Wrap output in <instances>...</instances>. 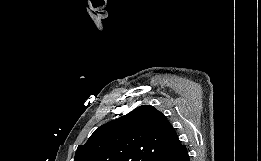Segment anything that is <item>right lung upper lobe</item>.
<instances>
[{
    "label": "right lung upper lobe",
    "mask_w": 261,
    "mask_h": 161,
    "mask_svg": "<svg viewBox=\"0 0 261 161\" xmlns=\"http://www.w3.org/2000/svg\"><path fill=\"white\" fill-rule=\"evenodd\" d=\"M167 118L151 105L100 126L79 145L74 161H151L180 148Z\"/></svg>",
    "instance_id": "right-lung-upper-lobe-1"
}]
</instances>
